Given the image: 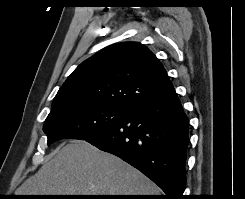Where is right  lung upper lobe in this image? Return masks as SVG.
Wrapping results in <instances>:
<instances>
[{
    "instance_id": "obj_1",
    "label": "right lung upper lobe",
    "mask_w": 245,
    "mask_h": 199,
    "mask_svg": "<svg viewBox=\"0 0 245 199\" xmlns=\"http://www.w3.org/2000/svg\"><path fill=\"white\" fill-rule=\"evenodd\" d=\"M174 91L158 59L144 45L125 42L109 46L80 64L59 89L51 112L83 103L129 111Z\"/></svg>"
}]
</instances>
